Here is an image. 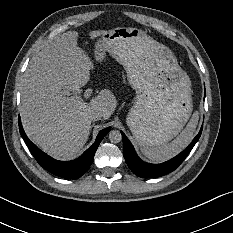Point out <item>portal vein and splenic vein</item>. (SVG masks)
Here are the masks:
<instances>
[{
    "label": "portal vein and splenic vein",
    "instance_id": "portal-vein-and-splenic-vein-1",
    "mask_svg": "<svg viewBox=\"0 0 233 233\" xmlns=\"http://www.w3.org/2000/svg\"><path fill=\"white\" fill-rule=\"evenodd\" d=\"M63 93L67 97H70V98H73V99H78L77 96L75 94H73L71 91L65 90ZM91 94H92V91L90 89L85 90L83 92V94H82L83 95V97H82L83 101H87L90 98ZM78 100L82 102L81 99H78Z\"/></svg>",
    "mask_w": 233,
    "mask_h": 233
}]
</instances>
